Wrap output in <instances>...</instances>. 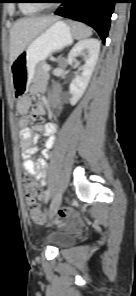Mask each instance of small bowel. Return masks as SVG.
I'll list each match as a JSON object with an SVG mask.
<instances>
[{"instance_id": "obj_1", "label": "small bowel", "mask_w": 136, "mask_h": 296, "mask_svg": "<svg viewBox=\"0 0 136 296\" xmlns=\"http://www.w3.org/2000/svg\"><path fill=\"white\" fill-rule=\"evenodd\" d=\"M31 108V100L29 97L21 98L17 103V112L20 115L18 125L20 129V139L22 142V157L23 168L26 174L34 177L41 185H44V178L47 169L46 157L49 156V150L52 148L55 141V133L58 125L53 122L37 123L33 127L29 126V119L25 116ZM44 107L38 106L33 110L32 116H37L44 113ZM39 133L46 136L45 149L41 155L33 158L37 152V143Z\"/></svg>"}]
</instances>
